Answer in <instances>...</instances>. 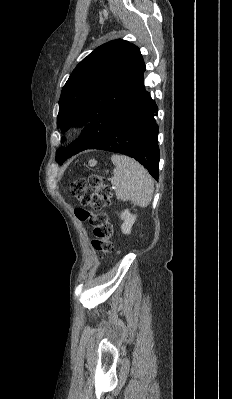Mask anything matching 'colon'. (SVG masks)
I'll return each mask as SVG.
<instances>
[{
  "label": "colon",
  "mask_w": 232,
  "mask_h": 399,
  "mask_svg": "<svg viewBox=\"0 0 232 399\" xmlns=\"http://www.w3.org/2000/svg\"><path fill=\"white\" fill-rule=\"evenodd\" d=\"M86 168H96V163H84L81 166V177L86 181L74 180V186L71 187V194L77 196L82 205L78 207L77 218H81V222H87L89 230H92L90 243H94L98 253L102 252L99 261L112 262L114 240H111V235L117 236V227L107 221V205H111V179L100 175H86Z\"/></svg>",
  "instance_id": "colon-1"
}]
</instances>
